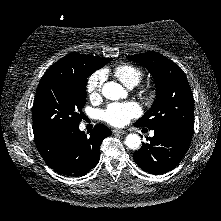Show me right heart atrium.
Wrapping results in <instances>:
<instances>
[{
	"label": "right heart atrium",
	"instance_id": "right-heart-atrium-1",
	"mask_svg": "<svg viewBox=\"0 0 221 221\" xmlns=\"http://www.w3.org/2000/svg\"><path fill=\"white\" fill-rule=\"evenodd\" d=\"M106 76L103 70L94 72L87 81L86 90L91 99H98L101 96Z\"/></svg>",
	"mask_w": 221,
	"mask_h": 221
}]
</instances>
